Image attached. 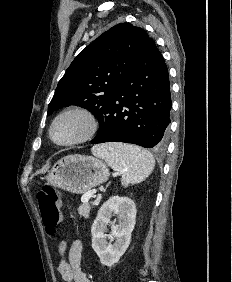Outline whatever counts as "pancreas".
<instances>
[{
	"mask_svg": "<svg viewBox=\"0 0 232 282\" xmlns=\"http://www.w3.org/2000/svg\"><path fill=\"white\" fill-rule=\"evenodd\" d=\"M91 210V205L89 203H83L79 208H78V213L84 217L88 218L89 217V212Z\"/></svg>",
	"mask_w": 232,
	"mask_h": 282,
	"instance_id": "1",
	"label": "pancreas"
}]
</instances>
